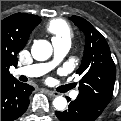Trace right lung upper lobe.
<instances>
[{
    "label": "right lung upper lobe",
    "instance_id": "obj_1",
    "mask_svg": "<svg viewBox=\"0 0 121 121\" xmlns=\"http://www.w3.org/2000/svg\"><path fill=\"white\" fill-rule=\"evenodd\" d=\"M40 21V17L26 13H16L1 21V83L16 79L9 67L17 65L18 52Z\"/></svg>",
    "mask_w": 121,
    "mask_h": 121
}]
</instances>
